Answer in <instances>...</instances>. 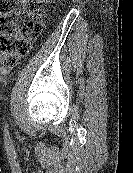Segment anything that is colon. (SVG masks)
I'll return each instance as SVG.
<instances>
[{
    "mask_svg": "<svg viewBox=\"0 0 133 173\" xmlns=\"http://www.w3.org/2000/svg\"><path fill=\"white\" fill-rule=\"evenodd\" d=\"M44 12L37 0H0V65L6 72L27 55L43 31Z\"/></svg>",
    "mask_w": 133,
    "mask_h": 173,
    "instance_id": "1",
    "label": "colon"
}]
</instances>
